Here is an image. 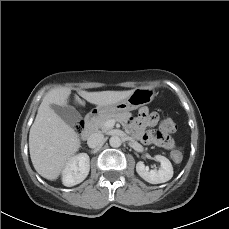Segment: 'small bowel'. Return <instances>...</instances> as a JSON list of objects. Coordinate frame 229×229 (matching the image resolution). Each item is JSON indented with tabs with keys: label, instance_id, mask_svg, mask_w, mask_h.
Returning <instances> with one entry per match:
<instances>
[{
	"label": "small bowel",
	"instance_id": "c3829d8e",
	"mask_svg": "<svg viewBox=\"0 0 229 229\" xmlns=\"http://www.w3.org/2000/svg\"><path fill=\"white\" fill-rule=\"evenodd\" d=\"M158 120L159 116L156 112H151L147 107H142L137 116L129 121L127 127L138 141L151 145L155 143L156 139L152 132L147 129L155 126Z\"/></svg>",
	"mask_w": 229,
	"mask_h": 229
}]
</instances>
